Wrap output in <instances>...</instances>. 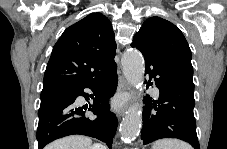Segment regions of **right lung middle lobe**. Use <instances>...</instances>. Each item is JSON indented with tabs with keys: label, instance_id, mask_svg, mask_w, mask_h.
I'll use <instances>...</instances> for the list:
<instances>
[{
	"label": "right lung middle lobe",
	"instance_id": "right-lung-middle-lobe-1",
	"mask_svg": "<svg viewBox=\"0 0 227 149\" xmlns=\"http://www.w3.org/2000/svg\"><path fill=\"white\" fill-rule=\"evenodd\" d=\"M69 87H51L43 89L41 92V105L43 106L54 98L68 94Z\"/></svg>",
	"mask_w": 227,
	"mask_h": 149
}]
</instances>
